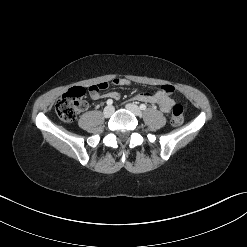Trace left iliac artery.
I'll list each match as a JSON object with an SVG mask.
<instances>
[{
    "label": "left iliac artery",
    "mask_w": 247,
    "mask_h": 247,
    "mask_svg": "<svg viewBox=\"0 0 247 247\" xmlns=\"http://www.w3.org/2000/svg\"><path fill=\"white\" fill-rule=\"evenodd\" d=\"M140 109H141V110H145V109H146V105H145V104H141V105H140Z\"/></svg>",
    "instance_id": "obj_1"
}]
</instances>
